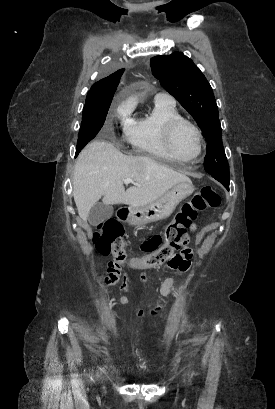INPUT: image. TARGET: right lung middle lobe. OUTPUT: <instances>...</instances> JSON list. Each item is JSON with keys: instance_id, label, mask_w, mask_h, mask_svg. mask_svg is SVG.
Instances as JSON below:
<instances>
[{"instance_id": "obj_1", "label": "right lung middle lobe", "mask_w": 275, "mask_h": 409, "mask_svg": "<svg viewBox=\"0 0 275 409\" xmlns=\"http://www.w3.org/2000/svg\"><path fill=\"white\" fill-rule=\"evenodd\" d=\"M103 73H119V64H103ZM110 104L104 105H86L83 109L82 122L78 135L76 155L91 141L102 128Z\"/></svg>"}]
</instances>
